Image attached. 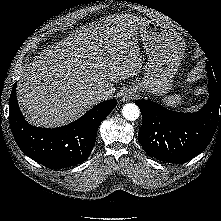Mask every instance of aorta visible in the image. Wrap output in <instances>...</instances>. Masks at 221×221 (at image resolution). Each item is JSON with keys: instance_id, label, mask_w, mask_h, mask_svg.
Wrapping results in <instances>:
<instances>
[{"instance_id": "aorta-1", "label": "aorta", "mask_w": 221, "mask_h": 221, "mask_svg": "<svg viewBox=\"0 0 221 221\" xmlns=\"http://www.w3.org/2000/svg\"><path fill=\"white\" fill-rule=\"evenodd\" d=\"M122 115L125 119L129 121H134L138 119L140 115V110L136 104L127 103L122 108Z\"/></svg>"}]
</instances>
